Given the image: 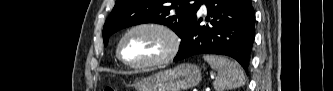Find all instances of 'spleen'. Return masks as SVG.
<instances>
[{
    "label": "spleen",
    "mask_w": 333,
    "mask_h": 91,
    "mask_svg": "<svg viewBox=\"0 0 333 91\" xmlns=\"http://www.w3.org/2000/svg\"><path fill=\"white\" fill-rule=\"evenodd\" d=\"M204 60L217 71L213 85L215 91H227L245 84V75L241 66L226 57L204 55Z\"/></svg>",
    "instance_id": "1"
}]
</instances>
